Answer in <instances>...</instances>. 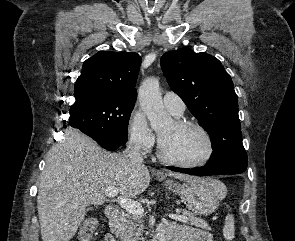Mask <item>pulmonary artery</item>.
<instances>
[{"label": "pulmonary artery", "mask_w": 295, "mask_h": 241, "mask_svg": "<svg viewBox=\"0 0 295 241\" xmlns=\"http://www.w3.org/2000/svg\"><path fill=\"white\" fill-rule=\"evenodd\" d=\"M163 104L174 116L179 117L184 113L185 104L181 97L174 92H166L163 96Z\"/></svg>", "instance_id": "obj_1"}]
</instances>
